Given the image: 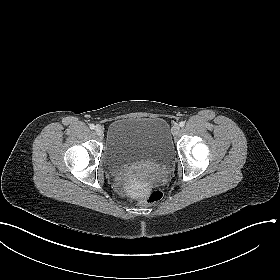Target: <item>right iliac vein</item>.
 Returning a JSON list of instances; mask_svg holds the SVG:
<instances>
[{"label": "right iliac vein", "mask_w": 280, "mask_h": 280, "mask_svg": "<svg viewBox=\"0 0 280 280\" xmlns=\"http://www.w3.org/2000/svg\"><path fill=\"white\" fill-rule=\"evenodd\" d=\"M95 132H96L97 135L101 136V135H103V133H104V129H103L102 126L97 125V126L95 127Z\"/></svg>", "instance_id": "1"}]
</instances>
